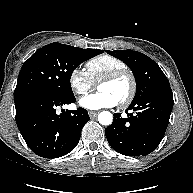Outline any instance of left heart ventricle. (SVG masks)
<instances>
[{
    "instance_id": "b2bd125f",
    "label": "left heart ventricle",
    "mask_w": 193,
    "mask_h": 193,
    "mask_svg": "<svg viewBox=\"0 0 193 193\" xmlns=\"http://www.w3.org/2000/svg\"><path fill=\"white\" fill-rule=\"evenodd\" d=\"M130 88L131 83L128 77H122L115 82L103 83L98 86L99 91L109 93L116 99L117 103L128 96Z\"/></svg>"
}]
</instances>
